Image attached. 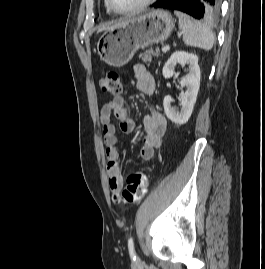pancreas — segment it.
<instances>
[{
    "mask_svg": "<svg viewBox=\"0 0 265 269\" xmlns=\"http://www.w3.org/2000/svg\"><path fill=\"white\" fill-rule=\"evenodd\" d=\"M160 56V50L156 49H150V50H146L143 54L140 55V58L144 61V62H151L153 57H158Z\"/></svg>",
    "mask_w": 265,
    "mask_h": 269,
    "instance_id": "1",
    "label": "pancreas"
}]
</instances>
